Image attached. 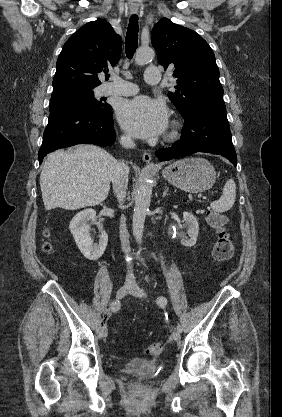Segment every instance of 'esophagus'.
I'll list each match as a JSON object with an SVG mask.
<instances>
[{"mask_svg": "<svg viewBox=\"0 0 282 417\" xmlns=\"http://www.w3.org/2000/svg\"><path fill=\"white\" fill-rule=\"evenodd\" d=\"M131 13H137V11H131ZM143 160L146 162L150 167H156V165L152 162V156L148 152H144Z\"/></svg>", "mask_w": 282, "mask_h": 417, "instance_id": "34e87169", "label": "esophagus"}]
</instances>
